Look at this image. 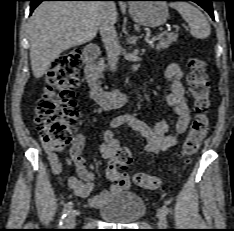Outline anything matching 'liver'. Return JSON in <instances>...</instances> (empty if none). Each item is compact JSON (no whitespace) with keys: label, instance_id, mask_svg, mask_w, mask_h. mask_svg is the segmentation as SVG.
Segmentation results:
<instances>
[{"label":"liver","instance_id":"6515ba94","mask_svg":"<svg viewBox=\"0 0 234 231\" xmlns=\"http://www.w3.org/2000/svg\"><path fill=\"white\" fill-rule=\"evenodd\" d=\"M106 14L117 21L115 3L101 1H49L41 3L29 20L30 59L33 75L41 78L64 51L93 40L98 20Z\"/></svg>","mask_w":234,"mask_h":231}]
</instances>
